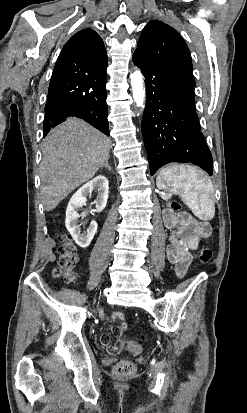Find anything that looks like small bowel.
<instances>
[{
    "label": "small bowel",
    "mask_w": 247,
    "mask_h": 413,
    "mask_svg": "<svg viewBox=\"0 0 247 413\" xmlns=\"http://www.w3.org/2000/svg\"><path fill=\"white\" fill-rule=\"evenodd\" d=\"M164 223L170 231L169 244L167 246V256L175 268L176 275L179 279L185 277L189 266L196 260L193 251L198 247L200 241L210 236L211 227L207 221H197L190 217L187 222H179L178 216L170 209L164 211ZM186 224L189 225L190 231L187 232ZM123 313L116 312L112 315L113 319H118L119 323L108 322L106 329L115 331V336L126 340L123 329L127 328L124 322ZM100 347L108 349L110 355H120L122 353L123 342L117 341L116 346H111L110 336L101 334L99 336Z\"/></svg>",
    "instance_id": "obj_1"
}]
</instances>
